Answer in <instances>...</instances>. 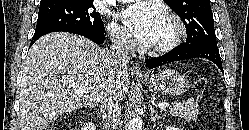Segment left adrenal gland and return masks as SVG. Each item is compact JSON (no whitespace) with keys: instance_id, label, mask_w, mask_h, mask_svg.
Masks as SVG:
<instances>
[{"instance_id":"1","label":"left adrenal gland","mask_w":249,"mask_h":130,"mask_svg":"<svg viewBox=\"0 0 249 130\" xmlns=\"http://www.w3.org/2000/svg\"><path fill=\"white\" fill-rule=\"evenodd\" d=\"M150 116H151V120L153 122H155L156 119H163L164 120V116L158 115L155 111V107L151 106L150 107Z\"/></svg>"}]
</instances>
